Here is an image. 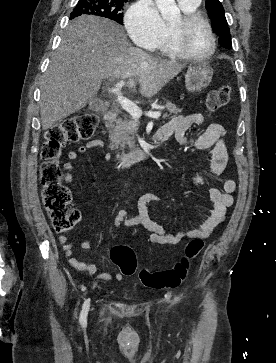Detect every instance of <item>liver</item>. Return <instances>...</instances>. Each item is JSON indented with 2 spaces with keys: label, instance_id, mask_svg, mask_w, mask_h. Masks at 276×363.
Instances as JSON below:
<instances>
[{
  "label": "liver",
  "instance_id": "6515ba94",
  "mask_svg": "<svg viewBox=\"0 0 276 363\" xmlns=\"http://www.w3.org/2000/svg\"><path fill=\"white\" fill-rule=\"evenodd\" d=\"M185 64L154 58L133 47L117 23L95 16L74 19L62 35L41 83L42 129L83 109L103 79L127 80L128 88L151 98L176 77Z\"/></svg>",
  "mask_w": 276,
  "mask_h": 363
}]
</instances>
